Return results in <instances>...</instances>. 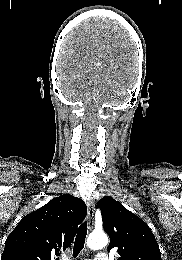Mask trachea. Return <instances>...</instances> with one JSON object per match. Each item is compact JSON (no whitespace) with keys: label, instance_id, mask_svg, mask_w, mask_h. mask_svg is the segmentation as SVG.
Wrapping results in <instances>:
<instances>
[{"label":"trachea","instance_id":"obj_1","mask_svg":"<svg viewBox=\"0 0 182 260\" xmlns=\"http://www.w3.org/2000/svg\"><path fill=\"white\" fill-rule=\"evenodd\" d=\"M87 235V221L83 222L77 231V235L74 242L73 257L76 258L80 251L84 248L85 239Z\"/></svg>","mask_w":182,"mask_h":260}]
</instances>
